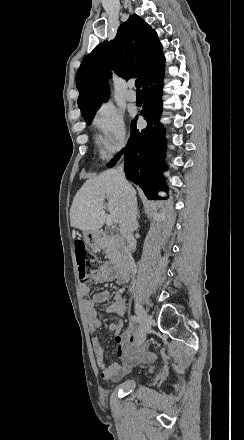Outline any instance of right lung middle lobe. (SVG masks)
Returning a JSON list of instances; mask_svg holds the SVG:
<instances>
[{
	"label": "right lung middle lobe",
	"mask_w": 244,
	"mask_h": 440,
	"mask_svg": "<svg viewBox=\"0 0 244 440\" xmlns=\"http://www.w3.org/2000/svg\"><path fill=\"white\" fill-rule=\"evenodd\" d=\"M97 108H94V109L86 111V112H83V111L81 112L82 115H83V118L85 119V121H86V123L88 125L92 122V119H93V117L95 115V112H96Z\"/></svg>",
	"instance_id": "right-lung-middle-lobe-1"
}]
</instances>
